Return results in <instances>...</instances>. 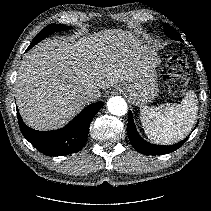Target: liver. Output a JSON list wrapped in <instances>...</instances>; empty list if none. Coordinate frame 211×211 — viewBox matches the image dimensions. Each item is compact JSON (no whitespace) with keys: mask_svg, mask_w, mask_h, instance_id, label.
Segmentation results:
<instances>
[{"mask_svg":"<svg viewBox=\"0 0 211 211\" xmlns=\"http://www.w3.org/2000/svg\"><path fill=\"white\" fill-rule=\"evenodd\" d=\"M150 49L121 29L76 40L47 39L27 52L15 82L22 119L37 130L63 127L86 105L84 93L132 82ZM100 95V94H99Z\"/></svg>","mask_w":211,"mask_h":211,"instance_id":"liver-1","label":"liver"}]
</instances>
